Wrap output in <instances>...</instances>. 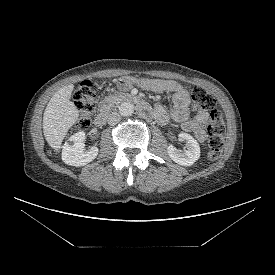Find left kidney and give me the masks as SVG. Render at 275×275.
<instances>
[{"mask_svg": "<svg viewBox=\"0 0 275 275\" xmlns=\"http://www.w3.org/2000/svg\"><path fill=\"white\" fill-rule=\"evenodd\" d=\"M179 138L187 142V150H180L172 144L167 147L170 158L177 164L182 166H191L200 157V147L198 142L187 133H180Z\"/></svg>", "mask_w": 275, "mask_h": 275, "instance_id": "obj_1", "label": "left kidney"}]
</instances>
